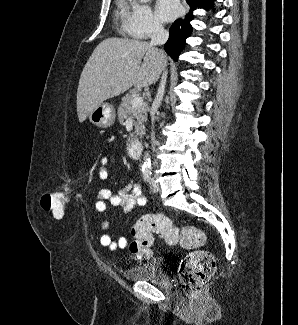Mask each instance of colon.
Instances as JSON below:
<instances>
[{"label":"colon","instance_id":"5ec220e1","mask_svg":"<svg viewBox=\"0 0 298 325\" xmlns=\"http://www.w3.org/2000/svg\"><path fill=\"white\" fill-rule=\"evenodd\" d=\"M81 186H71L46 192L41 198V207L55 218L63 217L69 196ZM153 233L158 234L169 245H179L191 250L181 263L179 279L184 291L190 295L197 294L210 280L216 269L214 257L203 250L204 233L194 226L178 228L172 221L160 214L145 215L132 227L133 241L129 249L138 260L152 256Z\"/></svg>","mask_w":298,"mask_h":325}]
</instances>
